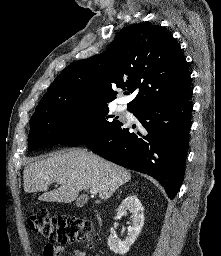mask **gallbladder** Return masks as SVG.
<instances>
[{"label":"gallbladder","instance_id":"bac80fb5","mask_svg":"<svg viewBox=\"0 0 221 256\" xmlns=\"http://www.w3.org/2000/svg\"><path fill=\"white\" fill-rule=\"evenodd\" d=\"M86 202H87V197L86 196H80L76 201V206L77 207H82Z\"/></svg>","mask_w":221,"mask_h":256}]
</instances>
